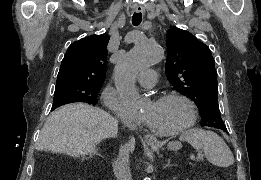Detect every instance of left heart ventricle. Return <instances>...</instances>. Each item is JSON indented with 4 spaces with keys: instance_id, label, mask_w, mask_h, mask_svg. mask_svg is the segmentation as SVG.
<instances>
[{
    "instance_id": "1",
    "label": "left heart ventricle",
    "mask_w": 261,
    "mask_h": 180,
    "mask_svg": "<svg viewBox=\"0 0 261 180\" xmlns=\"http://www.w3.org/2000/svg\"><path fill=\"white\" fill-rule=\"evenodd\" d=\"M187 105L178 98L146 99L142 106V122L155 136L178 133L188 117Z\"/></svg>"
}]
</instances>
